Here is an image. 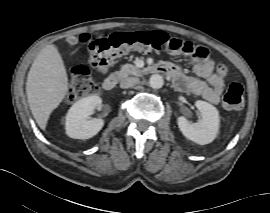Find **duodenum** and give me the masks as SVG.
Segmentation results:
<instances>
[{
    "instance_id": "obj_1",
    "label": "duodenum",
    "mask_w": 270,
    "mask_h": 213,
    "mask_svg": "<svg viewBox=\"0 0 270 213\" xmlns=\"http://www.w3.org/2000/svg\"><path fill=\"white\" fill-rule=\"evenodd\" d=\"M151 70L156 73H161V74L170 76V72L162 66L152 67ZM123 77H124V73L122 72H118L114 75L107 77L103 82V89L106 91L114 90L116 86L118 85V83L120 82V80L123 79Z\"/></svg>"
}]
</instances>
